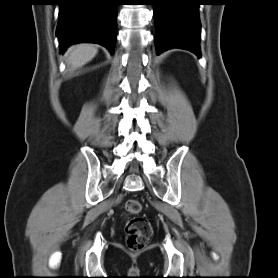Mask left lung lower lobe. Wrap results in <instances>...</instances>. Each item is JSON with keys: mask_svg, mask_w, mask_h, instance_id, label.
Returning <instances> with one entry per match:
<instances>
[{"mask_svg": "<svg viewBox=\"0 0 278 278\" xmlns=\"http://www.w3.org/2000/svg\"><path fill=\"white\" fill-rule=\"evenodd\" d=\"M200 0H153L157 54L181 48L200 52Z\"/></svg>", "mask_w": 278, "mask_h": 278, "instance_id": "0a47b994", "label": "left lung lower lobe"}]
</instances>
